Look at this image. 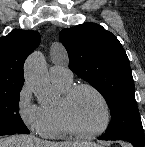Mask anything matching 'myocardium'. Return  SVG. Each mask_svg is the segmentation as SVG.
Returning <instances> with one entry per match:
<instances>
[{
	"instance_id": "1",
	"label": "myocardium",
	"mask_w": 145,
	"mask_h": 147,
	"mask_svg": "<svg viewBox=\"0 0 145 147\" xmlns=\"http://www.w3.org/2000/svg\"><path fill=\"white\" fill-rule=\"evenodd\" d=\"M83 89H87L91 92H93L102 102L104 108H105V122L103 126L97 130L94 131H84L81 128H79L76 123L74 122L71 112H70V106L73 98L75 95ZM58 108L60 112L61 119L68 129V131L71 134H74L81 138H93L96 136L101 135L104 133L110 126L111 120H112V110L111 106L107 100V98L104 96V94L95 86L88 84V83H79L72 85L60 98L58 103Z\"/></svg>"
}]
</instances>
